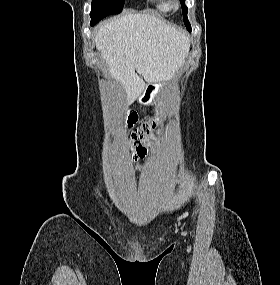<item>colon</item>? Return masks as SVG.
Wrapping results in <instances>:
<instances>
[{
	"label": "colon",
	"mask_w": 280,
	"mask_h": 285,
	"mask_svg": "<svg viewBox=\"0 0 280 285\" xmlns=\"http://www.w3.org/2000/svg\"><path fill=\"white\" fill-rule=\"evenodd\" d=\"M137 119L135 113H131L129 116L130 124H134ZM163 123L160 118H153L141 126L135 128L131 134L133 140V146L139 155L145 154V146L150 145L159 135Z\"/></svg>",
	"instance_id": "5ec220e1"
}]
</instances>
